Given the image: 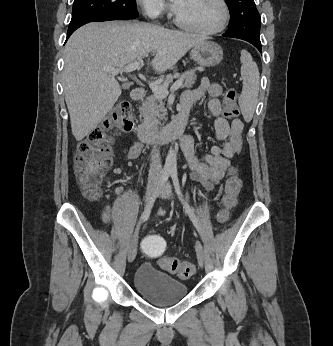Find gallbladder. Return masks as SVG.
Segmentation results:
<instances>
[{
  "mask_svg": "<svg viewBox=\"0 0 333 346\" xmlns=\"http://www.w3.org/2000/svg\"><path fill=\"white\" fill-rule=\"evenodd\" d=\"M130 86H131V83H124V84L122 85V87H123L124 89H129Z\"/></svg>",
  "mask_w": 333,
  "mask_h": 346,
  "instance_id": "obj_1",
  "label": "gallbladder"
}]
</instances>
